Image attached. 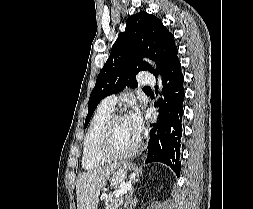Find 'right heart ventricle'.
Returning <instances> with one entry per match:
<instances>
[{
    "label": "right heart ventricle",
    "mask_w": 253,
    "mask_h": 209,
    "mask_svg": "<svg viewBox=\"0 0 253 209\" xmlns=\"http://www.w3.org/2000/svg\"><path fill=\"white\" fill-rule=\"evenodd\" d=\"M112 112L113 108L102 102L91 119L83 140L82 166L85 169L98 168L107 161L97 155L96 145L100 130Z\"/></svg>",
    "instance_id": "obj_1"
}]
</instances>
